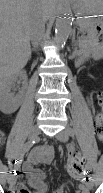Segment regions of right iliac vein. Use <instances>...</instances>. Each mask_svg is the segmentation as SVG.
<instances>
[{"mask_svg": "<svg viewBox=\"0 0 103 193\" xmlns=\"http://www.w3.org/2000/svg\"><path fill=\"white\" fill-rule=\"evenodd\" d=\"M40 134V129L37 126H34L31 131H30V139H36L38 137V135ZM15 181V174L11 173L8 177V182L10 184H13Z\"/></svg>", "mask_w": 103, "mask_h": 193, "instance_id": "1", "label": "right iliac vein"}]
</instances>
